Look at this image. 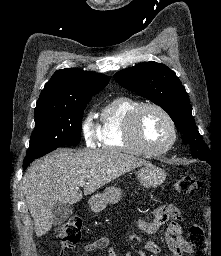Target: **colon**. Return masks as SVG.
Segmentation results:
<instances>
[{"instance_id": "colon-1", "label": "colon", "mask_w": 221, "mask_h": 256, "mask_svg": "<svg viewBox=\"0 0 221 256\" xmlns=\"http://www.w3.org/2000/svg\"><path fill=\"white\" fill-rule=\"evenodd\" d=\"M200 180L193 176L181 177L176 183V190L181 194H190L201 187ZM82 236V220L71 217L55 229L56 239L65 247H73L79 243ZM190 256H207V238L204 229L194 225L189 230Z\"/></svg>"}]
</instances>
